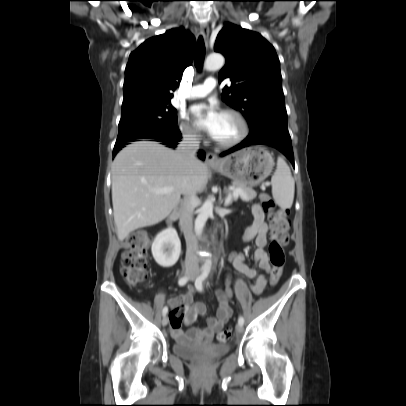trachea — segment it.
<instances>
[{
    "label": "trachea",
    "mask_w": 406,
    "mask_h": 406,
    "mask_svg": "<svg viewBox=\"0 0 406 406\" xmlns=\"http://www.w3.org/2000/svg\"><path fill=\"white\" fill-rule=\"evenodd\" d=\"M204 58H205V45H204L203 38L200 36L197 41L195 55H194V63H195V67L197 68L198 71H201V69L203 67Z\"/></svg>",
    "instance_id": "trachea-1"
}]
</instances>
